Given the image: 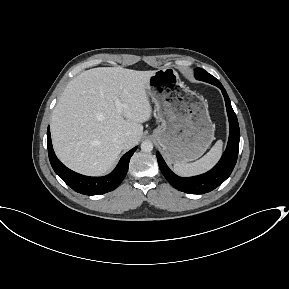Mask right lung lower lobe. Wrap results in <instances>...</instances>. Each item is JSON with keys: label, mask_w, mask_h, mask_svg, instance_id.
Here are the masks:
<instances>
[{"label": "right lung lower lobe", "mask_w": 289, "mask_h": 289, "mask_svg": "<svg viewBox=\"0 0 289 289\" xmlns=\"http://www.w3.org/2000/svg\"><path fill=\"white\" fill-rule=\"evenodd\" d=\"M48 154L51 166L56 174L74 191L86 195H99L114 190L125 178L129 161L137 147L127 152L119 161L117 167L107 176L88 177L64 166L56 157L52 148L50 129L47 130Z\"/></svg>", "instance_id": "98d812e1"}]
</instances>
